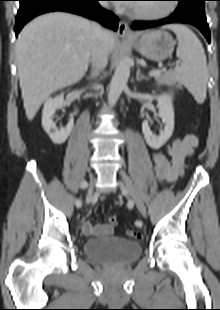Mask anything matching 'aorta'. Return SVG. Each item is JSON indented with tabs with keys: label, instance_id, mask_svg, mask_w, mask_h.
Returning a JSON list of instances; mask_svg holds the SVG:
<instances>
[{
	"label": "aorta",
	"instance_id": "762f6f07",
	"mask_svg": "<svg viewBox=\"0 0 220 310\" xmlns=\"http://www.w3.org/2000/svg\"><path fill=\"white\" fill-rule=\"evenodd\" d=\"M130 75V61L123 58L115 69L108 93V103L114 105L127 85Z\"/></svg>",
	"mask_w": 220,
	"mask_h": 310
}]
</instances>
